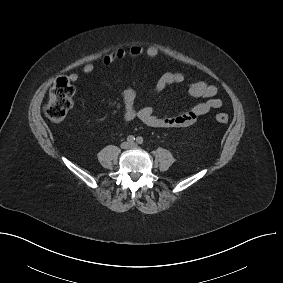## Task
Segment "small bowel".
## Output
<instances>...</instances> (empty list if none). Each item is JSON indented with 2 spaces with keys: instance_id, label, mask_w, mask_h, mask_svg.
<instances>
[{
  "instance_id": "small-bowel-1",
  "label": "small bowel",
  "mask_w": 283,
  "mask_h": 283,
  "mask_svg": "<svg viewBox=\"0 0 283 283\" xmlns=\"http://www.w3.org/2000/svg\"><path fill=\"white\" fill-rule=\"evenodd\" d=\"M160 54L156 46L143 47L140 45H132L128 49L118 48L103 56L102 62L105 65L112 64L116 61L130 57H141L146 55L149 58H156ZM95 70V66L91 63L85 64L82 68L83 73L91 74ZM79 79L77 73H71L69 80L76 82ZM185 76L182 72H168L160 77L154 88L155 93L163 91L170 85L180 84L184 81ZM188 94L194 98H202L204 101L197 103L190 109L175 115V116H159L154 112V109L149 106L142 108L136 107V91L133 88L125 87L120 89V93L124 101V119L126 122H131L139 119L148 126L155 128H178L187 127L194 124L199 117L207 114L213 109H218L222 106V101L217 95V88L214 85L204 81L193 82L188 86Z\"/></svg>"
}]
</instances>
